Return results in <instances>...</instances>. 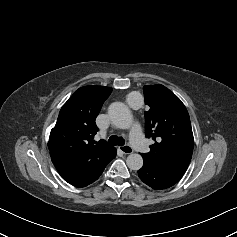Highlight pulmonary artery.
Segmentation results:
<instances>
[{"instance_id": "pulmonary-artery-1", "label": "pulmonary artery", "mask_w": 237, "mask_h": 237, "mask_svg": "<svg viewBox=\"0 0 237 237\" xmlns=\"http://www.w3.org/2000/svg\"><path fill=\"white\" fill-rule=\"evenodd\" d=\"M129 139L133 148L142 153H145L147 151V144L139 124H135L133 126L130 132Z\"/></svg>"}]
</instances>
